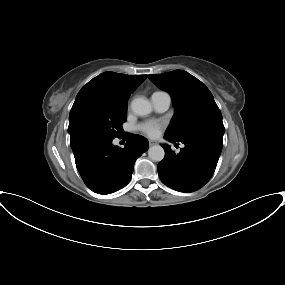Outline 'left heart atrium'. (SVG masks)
Returning <instances> with one entry per match:
<instances>
[{"label": "left heart atrium", "instance_id": "obj_1", "mask_svg": "<svg viewBox=\"0 0 285 285\" xmlns=\"http://www.w3.org/2000/svg\"><path fill=\"white\" fill-rule=\"evenodd\" d=\"M138 129L149 137H155L158 135L161 129V124L153 120L146 121V122L141 123L138 126Z\"/></svg>", "mask_w": 285, "mask_h": 285}]
</instances>
